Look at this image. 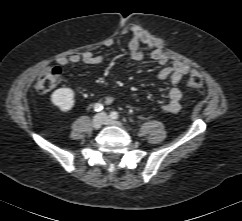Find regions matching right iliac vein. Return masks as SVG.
Listing matches in <instances>:
<instances>
[{
	"label": "right iliac vein",
	"instance_id": "right-iliac-vein-1",
	"mask_svg": "<svg viewBox=\"0 0 242 221\" xmlns=\"http://www.w3.org/2000/svg\"><path fill=\"white\" fill-rule=\"evenodd\" d=\"M104 124V119L101 115H95L92 120V126L94 129L98 130Z\"/></svg>",
	"mask_w": 242,
	"mask_h": 221
}]
</instances>
